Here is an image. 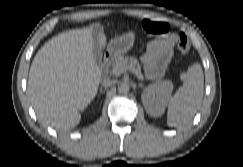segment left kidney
Here are the masks:
<instances>
[{"label":"left kidney","instance_id":"5707ae66","mask_svg":"<svg viewBox=\"0 0 243 167\" xmlns=\"http://www.w3.org/2000/svg\"><path fill=\"white\" fill-rule=\"evenodd\" d=\"M172 89L173 84L169 81L148 86L141 95L146 112L155 117L161 116L170 99Z\"/></svg>","mask_w":243,"mask_h":167}]
</instances>
